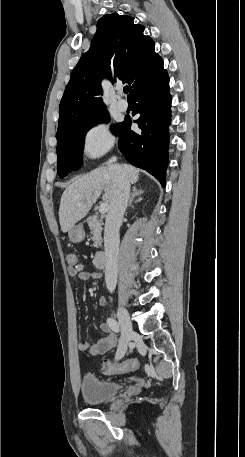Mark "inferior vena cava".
Returning a JSON list of instances; mask_svg holds the SVG:
<instances>
[{
  "mask_svg": "<svg viewBox=\"0 0 245 457\" xmlns=\"http://www.w3.org/2000/svg\"><path fill=\"white\" fill-rule=\"evenodd\" d=\"M116 156L109 158L108 170L111 174L114 192L110 202L109 210L106 214L104 229V247L106 257L105 281L109 291H114L118 279V255L120 237L119 231L122 224L123 214L129 200L130 182L126 172L121 166L113 164L116 162Z\"/></svg>",
  "mask_w": 245,
  "mask_h": 457,
  "instance_id": "1",
  "label": "inferior vena cava"
}]
</instances>
